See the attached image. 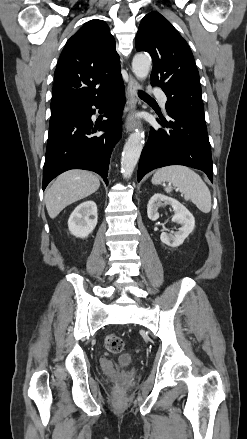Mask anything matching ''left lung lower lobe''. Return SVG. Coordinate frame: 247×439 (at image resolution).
<instances>
[{"label":"left lung lower lobe","instance_id":"0a47b994","mask_svg":"<svg viewBox=\"0 0 247 439\" xmlns=\"http://www.w3.org/2000/svg\"><path fill=\"white\" fill-rule=\"evenodd\" d=\"M168 116L169 120L162 116L158 119L163 128L150 129L139 161L138 181L149 171L168 165L202 170L212 181L211 147L205 119L177 112H170Z\"/></svg>","mask_w":247,"mask_h":439}]
</instances>
